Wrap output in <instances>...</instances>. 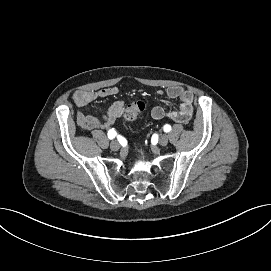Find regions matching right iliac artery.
Wrapping results in <instances>:
<instances>
[{"label":"right iliac artery","instance_id":"1","mask_svg":"<svg viewBox=\"0 0 271 271\" xmlns=\"http://www.w3.org/2000/svg\"><path fill=\"white\" fill-rule=\"evenodd\" d=\"M116 135H117V133H116V131H115L114 128H112V129H110V130L108 131V138H109V139H114Z\"/></svg>","mask_w":271,"mask_h":271}]
</instances>
